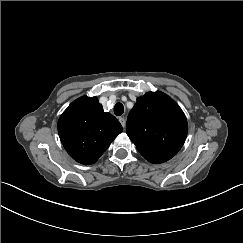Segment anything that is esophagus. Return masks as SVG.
<instances>
[{"mask_svg": "<svg viewBox=\"0 0 243 243\" xmlns=\"http://www.w3.org/2000/svg\"><path fill=\"white\" fill-rule=\"evenodd\" d=\"M119 122L121 123L122 127L124 128L126 125V121L123 117H119Z\"/></svg>", "mask_w": 243, "mask_h": 243, "instance_id": "esophagus-1", "label": "esophagus"}]
</instances>
